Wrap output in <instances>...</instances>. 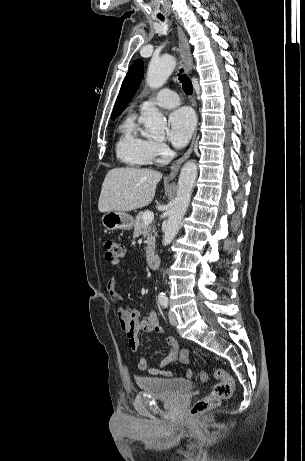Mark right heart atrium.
Segmentation results:
<instances>
[{"mask_svg":"<svg viewBox=\"0 0 305 461\" xmlns=\"http://www.w3.org/2000/svg\"><path fill=\"white\" fill-rule=\"evenodd\" d=\"M154 156L161 158L166 155L168 148L163 142H153Z\"/></svg>","mask_w":305,"mask_h":461,"instance_id":"1","label":"right heart atrium"}]
</instances>
